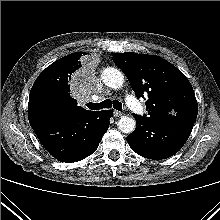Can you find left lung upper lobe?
I'll return each mask as SVG.
<instances>
[{
    "label": "left lung upper lobe",
    "instance_id": "left-lung-upper-lobe-1",
    "mask_svg": "<svg viewBox=\"0 0 220 220\" xmlns=\"http://www.w3.org/2000/svg\"><path fill=\"white\" fill-rule=\"evenodd\" d=\"M113 61L128 78L137 98L147 96L145 118L196 120L198 106L192 85L171 63L134 52L114 53Z\"/></svg>",
    "mask_w": 220,
    "mask_h": 220
}]
</instances>
